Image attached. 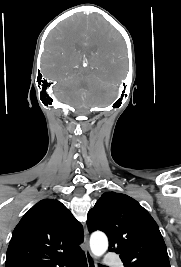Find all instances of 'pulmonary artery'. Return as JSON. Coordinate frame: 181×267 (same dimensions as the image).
<instances>
[{"label": "pulmonary artery", "instance_id": "pulmonary-artery-1", "mask_svg": "<svg viewBox=\"0 0 181 267\" xmlns=\"http://www.w3.org/2000/svg\"><path fill=\"white\" fill-rule=\"evenodd\" d=\"M106 265H119L121 261L111 255H107L104 259Z\"/></svg>", "mask_w": 181, "mask_h": 267}]
</instances>
